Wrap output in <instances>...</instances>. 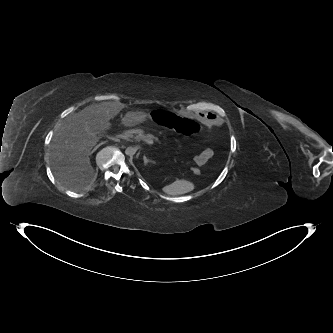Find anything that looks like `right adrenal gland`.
I'll return each instance as SVG.
<instances>
[{
  "label": "right adrenal gland",
  "instance_id": "2a0ac1e0",
  "mask_svg": "<svg viewBox=\"0 0 333 333\" xmlns=\"http://www.w3.org/2000/svg\"><path fill=\"white\" fill-rule=\"evenodd\" d=\"M104 143H106V142H104ZM99 146H100V145H97V146L91 151V154L94 153V152L97 150V148H98Z\"/></svg>",
  "mask_w": 333,
  "mask_h": 333
}]
</instances>
